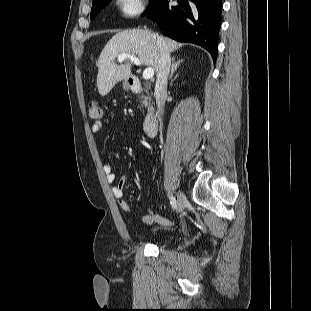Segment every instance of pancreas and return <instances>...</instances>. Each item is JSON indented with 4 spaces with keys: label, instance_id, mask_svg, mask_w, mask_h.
Segmentation results:
<instances>
[{
    "label": "pancreas",
    "instance_id": "1",
    "mask_svg": "<svg viewBox=\"0 0 311 311\" xmlns=\"http://www.w3.org/2000/svg\"><path fill=\"white\" fill-rule=\"evenodd\" d=\"M138 98H139V101L141 102V107H149L150 106L151 98L149 95L148 96L139 95Z\"/></svg>",
    "mask_w": 311,
    "mask_h": 311
}]
</instances>
